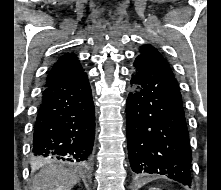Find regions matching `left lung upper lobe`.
<instances>
[{
	"instance_id": "obj_1",
	"label": "left lung upper lobe",
	"mask_w": 221,
	"mask_h": 190,
	"mask_svg": "<svg viewBox=\"0 0 221 190\" xmlns=\"http://www.w3.org/2000/svg\"><path fill=\"white\" fill-rule=\"evenodd\" d=\"M139 56L146 57V58H149V59L155 61L156 63L161 65L163 68H165L166 70H168L169 72L172 73V70H171L169 64L167 63V61L158 52V50L155 49L153 46H151V45L142 46L140 49Z\"/></svg>"
}]
</instances>
